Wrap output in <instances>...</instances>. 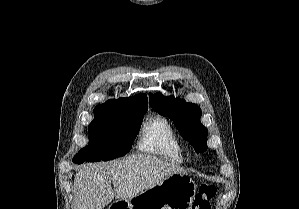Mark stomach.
<instances>
[{
    "label": "stomach",
    "instance_id": "obj_1",
    "mask_svg": "<svg viewBox=\"0 0 299 209\" xmlns=\"http://www.w3.org/2000/svg\"><path fill=\"white\" fill-rule=\"evenodd\" d=\"M196 188L187 174H172L132 198L115 201L109 209H192Z\"/></svg>",
    "mask_w": 299,
    "mask_h": 209
}]
</instances>
